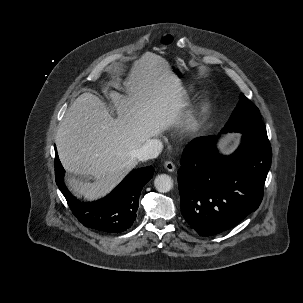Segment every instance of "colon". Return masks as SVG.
<instances>
[{
  "label": "colon",
  "mask_w": 303,
  "mask_h": 303,
  "mask_svg": "<svg viewBox=\"0 0 303 303\" xmlns=\"http://www.w3.org/2000/svg\"><path fill=\"white\" fill-rule=\"evenodd\" d=\"M173 42V38H172V36H165L163 39H162V43H163V45H166V46H168V45H170L171 43Z\"/></svg>",
  "instance_id": "colon-1"
}]
</instances>
